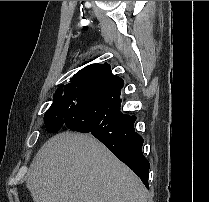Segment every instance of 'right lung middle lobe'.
<instances>
[{"label": "right lung middle lobe", "mask_w": 209, "mask_h": 202, "mask_svg": "<svg viewBox=\"0 0 209 202\" xmlns=\"http://www.w3.org/2000/svg\"><path fill=\"white\" fill-rule=\"evenodd\" d=\"M91 80L89 75H77L72 77L66 86L61 85L57 89L54 101L44 115L47 132H58L64 127V122L77 113L80 91Z\"/></svg>", "instance_id": "obj_1"}]
</instances>
